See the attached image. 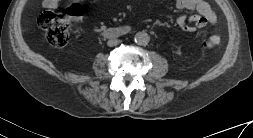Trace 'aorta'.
<instances>
[{
	"label": "aorta",
	"mask_w": 253,
	"mask_h": 138,
	"mask_svg": "<svg viewBox=\"0 0 253 138\" xmlns=\"http://www.w3.org/2000/svg\"><path fill=\"white\" fill-rule=\"evenodd\" d=\"M149 40H150L149 35L143 31L137 32L134 36V42L141 46L147 45Z\"/></svg>",
	"instance_id": "obj_1"
}]
</instances>
